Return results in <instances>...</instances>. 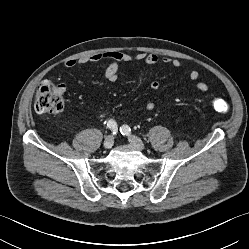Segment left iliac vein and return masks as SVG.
Masks as SVG:
<instances>
[{"label": "left iliac vein", "instance_id": "1", "mask_svg": "<svg viewBox=\"0 0 249 249\" xmlns=\"http://www.w3.org/2000/svg\"><path fill=\"white\" fill-rule=\"evenodd\" d=\"M129 143L138 150H144L145 145L140 138L135 135H130L128 137Z\"/></svg>", "mask_w": 249, "mask_h": 249}]
</instances>
